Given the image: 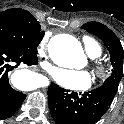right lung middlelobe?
Returning a JSON list of instances; mask_svg holds the SVG:
<instances>
[{
  "mask_svg": "<svg viewBox=\"0 0 124 124\" xmlns=\"http://www.w3.org/2000/svg\"><path fill=\"white\" fill-rule=\"evenodd\" d=\"M44 36L39 22L26 10L0 12V44L36 53Z\"/></svg>",
  "mask_w": 124,
  "mask_h": 124,
  "instance_id": "1",
  "label": "right lung middle lobe"
}]
</instances>
